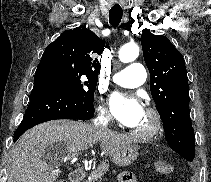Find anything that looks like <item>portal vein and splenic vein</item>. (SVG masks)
Wrapping results in <instances>:
<instances>
[{"mask_svg":"<svg viewBox=\"0 0 211 182\" xmlns=\"http://www.w3.org/2000/svg\"><path fill=\"white\" fill-rule=\"evenodd\" d=\"M78 153V152H77ZM72 155H66L65 160L71 159Z\"/></svg>","mask_w":211,"mask_h":182,"instance_id":"18ae733b","label":"portal vein and splenic vein"}]
</instances>
